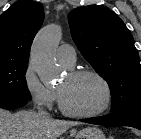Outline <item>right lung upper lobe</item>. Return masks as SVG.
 I'll list each match as a JSON object with an SVG mask.
<instances>
[{
  "label": "right lung upper lobe",
  "instance_id": "cb5924a9",
  "mask_svg": "<svg viewBox=\"0 0 141 139\" xmlns=\"http://www.w3.org/2000/svg\"><path fill=\"white\" fill-rule=\"evenodd\" d=\"M43 20L42 4L32 0L17 1L0 15V61H28Z\"/></svg>",
  "mask_w": 141,
  "mask_h": 139
}]
</instances>
